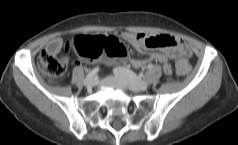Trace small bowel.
Masks as SVG:
<instances>
[{"instance_id": "c3829d8e", "label": "small bowel", "mask_w": 238, "mask_h": 145, "mask_svg": "<svg viewBox=\"0 0 238 145\" xmlns=\"http://www.w3.org/2000/svg\"><path fill=\"white\" fill-rule=\"evenodd\" d=\"M117 35L126 40L140 53L147 54V59H128L134 68H141L145 66L149 60H154L163 64V70L166 76H171L172 69L169 61L178 56L188 57L190 55L189 47L182 39L174 38L173 36L167 34L148 36L144 33L132 34L125 31H118ZM52 46H56L54 51L51 50ZM159 48L168 49L164 51L156 50ZM46 49L48 51H52L55 55H60L63 59L67 60L65 56L61 55L62 40L60 38L52 39L47 44ZM100 59L101 57H99V59L94 62H97ZM85 62L93 63L87 60H85ZM75 63L79 65L80 61H76Z\"/></svg>"}]
</instances>
